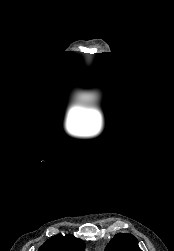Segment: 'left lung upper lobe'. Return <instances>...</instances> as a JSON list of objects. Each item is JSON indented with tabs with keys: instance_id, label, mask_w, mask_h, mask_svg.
Returning <instances> with one entry per match:
<instances>
[{
	"instance_id": "left-lung-upper-lobe-1",
	"label": "left lung upper lobe",
	"mask_w": 174,
	"mask_h": 251,
	"mask_svg": "<svg viewBox=\"0 0 174 251\" xmlns=\"http://www.w3.org/2000/svg\"><path fill=\"white\" fill-rule=\"evenodd\" d=\"M105 251H141L138 240L131 234L118 233L108 243Z\"/></svg>"
}]
</instances>
